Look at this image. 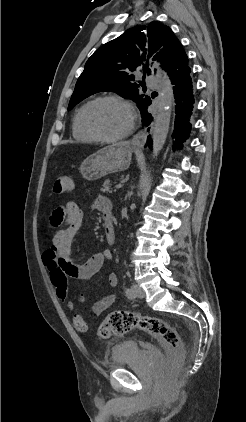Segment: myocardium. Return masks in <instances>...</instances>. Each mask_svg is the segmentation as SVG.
<instances>
[{"label": "myocardium", "instance_id": "myocardium-1", "mask_svg": "<svg viewBox=\"0 0 246 422\" xmlns=\"http://www.w3.org/2000/svg\"><path fill=\"white\" fill-rule=\"evenodd\" d=\"M105 101L117 102L123 105L124 107H126L129 111V114H130L129 125L126 128V130L119 135L111 136V137L101 135L93 128L90 122V113H91L92 108L98 103L105 102ZM135 124H136V112L133 105L129 101H127L126 99L118 95H104V96L97 97L86 105L83 112V125H84L85 130L95 141L102 142V143H114V142H118L120 140L125 139L133 132Z\"/></svg>", "mask_w": 246, "mask_h": 422}]
</instances>
